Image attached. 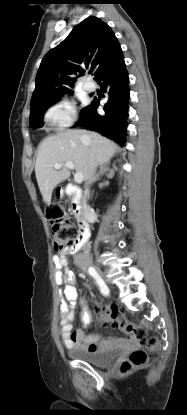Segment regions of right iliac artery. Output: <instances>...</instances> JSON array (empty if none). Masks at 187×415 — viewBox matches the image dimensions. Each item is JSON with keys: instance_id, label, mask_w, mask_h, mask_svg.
I'll list each match as a JSON object with an SVG mask.
<instances>
[{"instance_id": "82829eb1", "label": "right iliac artery", "mask_w": 187, "mask_h": 415, "mask_svg": "<svg viewBox=\"0 0 187 415\" xmlns=\"http://www.w3.org/2000/svg\"><path fill=\"white\" fill-rule=\"evenodd\" d=\"M88 272L95 279L97 284L99 285L101 293L103 295L107 296L109 294V288L107 287V285L105 284L103 279L99 276L97 271L93 267H89Z\"/></svg>"}]
</instances>
